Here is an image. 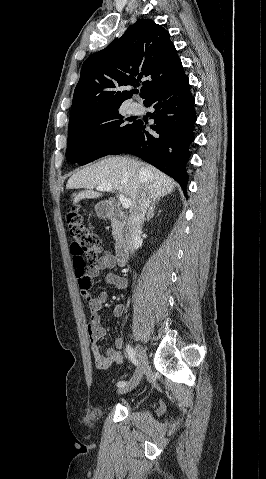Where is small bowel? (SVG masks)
Here are the masks:
<instances>
[{"instance_id": "c3829d8e", "label": "small bowel", "mask_w": 266, "mask_h": 479, "mask_svg": "<svg viewBox=\"0 0 266 479\" xmlns=\"http://www.w3.org/2000/svg\"><path fill=\"white\" fill-rule=\"evenodd\" d=\"M115 259L110 254H105L99 258L97 263L92 266L88 274L96 278L102 272L107 269L115 267ZM105 282L115 287L116 289H125L127 286V280L118 274L108 273L104 276ZM108 295L106 291H100L96 297L91 299L88 303L91 312L90 320L87 325L88 338L91 345V354L98 369H107L112 365L121 363L123 356L121 349L123 347V341L121 338L115 339V348L108 349L106 354L103 355L99 348V341L106 335L105 328L101 325V317L99 312L104 307L107 301ZM125 313V306L123 304H117L113 308V315L115 317H122Z\"/></svg>"}]
</instances>
